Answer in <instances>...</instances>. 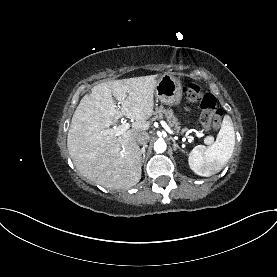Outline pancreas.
<instances>
[{
  "label": "pancreas",
  "mask_w": 277,
  "mask_h": 277,
  "mask_svg": "<svg viewBox=\"0 0 277 277\" xmlns=\"http://www.w3.org/2000/svg\"><path fill=\"white\" fill-rule=\"evenodd\" d=\"M154 117L153 119L161 118L163 116L166 117L167 121L170 123L171 126L174 127V129L179 132L180 131V122L175 117L174 112L170 108H164L162 106L157 107L155 112L153 113ZM186 129H183L182 131H185Z\"/></svg>",
  "instance_id": "obj_1"
}]
</instances>
